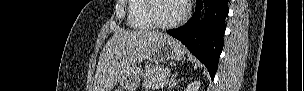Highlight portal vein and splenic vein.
Masks as SVG:
<instances>
[{
	"instance_id": "18ae733b",
	"label": "portal vein and splenic vein",
	"mask_w": 304,
	"mask_h": 91,
	"mask_svg": "<svg viewBox=\"0 0 304 91\" xmlns=\"http://www.w3.org/2000/svg\"><path fill=\"white\" fill-rule=\"evenodd\" d=\"M167 81H168V78L165 77V80L161 84H159L158 86H156V88H158L160 86H164Z\"/></svg>"
}]
</instances>
